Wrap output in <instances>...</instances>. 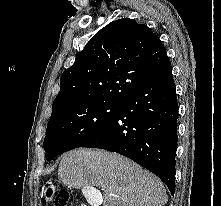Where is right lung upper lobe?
<instances>
[{"instance_id": "cb5924a9", "label": "right lung upper lobe", "mask_w": 221, "mask_h": 206, "mask_svg": "<svg viewBox=\"0 0 221 206\" xmlns=\"http://www.w3.org/2000/svg\"><path fill=\"white\" fill-rule=\"evenodd\" d=\"M170 65L146 25L119 19L102 28L61 76L52 115L92 103L121 104Z\"/></svg>"}]
</instances>
